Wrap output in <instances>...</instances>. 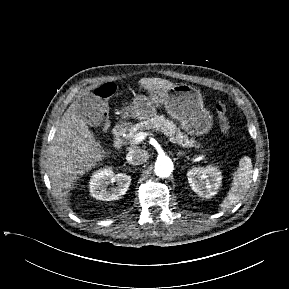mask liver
Segmentation results:
<instances>
[{"label":"liver","instance_id":"liver-1","mask_svg":"<svg viewBox=\"0 0 289 289\" xmlns=\"http://www.w3.org/2000/svg\"><path fill=\"white\" fill-rule=\"evenodd\" d=\"M139 83L149 92L174 86L172 82L161 78H142ZM49 153L48 170L52 191L62 198L79 176L95 168L97 162L102 161L109 152H105L100 142L96 141L75 102L63 114Z\"/></svg>","mask_w":289,"mask_h":289}]
</instances>
